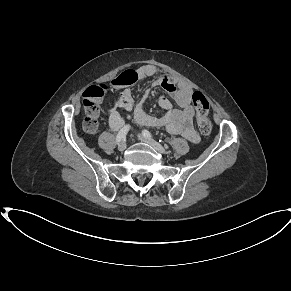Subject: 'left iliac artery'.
<instances>
[{
  "mask_svg": "<svg viewBox=\"0 0 291 291\" xmlns=\"http://www.w3.org/2000/svg\"><path fill=\"white\" fill-rule=\"evenodd\" d=\"M142 134L148 138H154L153 135L148 130H143ZM161 142V140H159Z\"/></svg>",
  "mask_w": 291,
  "mask_h": 291,
  "instance_id": "left-iliac-artery-1",
  "label": "left iliac artery"
}]
</instances>
